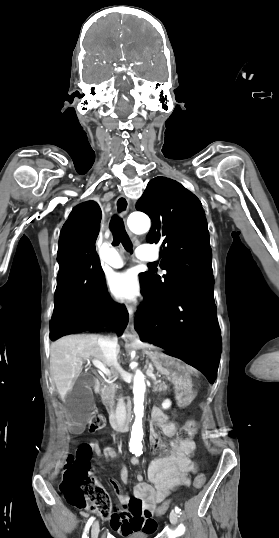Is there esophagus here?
<instances>
[{
  "mask_svg": "<svg viewBox=\"0 0 279 538\" xmlns=\"http://www.w3.org/2000/svg\"><path fill=\"white\" fill-rule=\"evenodd\" d=\"M128 210H129L128 198L125 197L124 195H120L119 197H117L115 201V211H116L117 216L119 217L125 216ZM129 313H130V321H129L127 329L124 332V337L128 339H136L138 338V334L134 329L133 310L130 309Z\"/></svg>",
  "mask_w": 279,
  "mask_h": 538,
  "instance_id": "esophagus-1",
  "label": "esophagus"
}]
</instances>
